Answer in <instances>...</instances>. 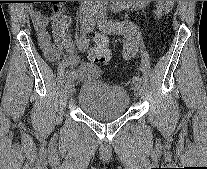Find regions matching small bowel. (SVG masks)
<instances>
[{
  "label": "small bowel",
  "mask_w": 207,
  "mask_h": 169,
  "mask_svg": "<svg viewBox=\"0 0 207 169\" xmlns=\"http://www.w3.org/2000/svg\"><path fill=\"white\" fill-rule=\"evenodd\" d=\"M149 2L122 1V5L124 7L137 8L143 7ZM30 16L33 20L40 48L45 57L51 62L63 61L68 66L78 65L79 58L74 52L69 37L71 17L66 13L65 9L61 5L56 6L50 18L43 16L36 9H31ZM49 25H51V31L48 29ZM70 72L75 74V78L89 80L98 74L99 69L96 64L86 62L80 64L78 69L71 70Z\"/></svg>",
  "instance_id": "1"
}]
</instances>
